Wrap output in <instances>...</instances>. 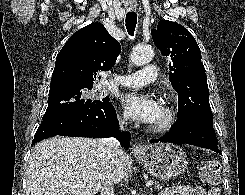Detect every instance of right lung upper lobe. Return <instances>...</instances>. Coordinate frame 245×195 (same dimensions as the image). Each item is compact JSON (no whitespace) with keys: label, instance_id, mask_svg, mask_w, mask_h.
<instances>
[{"label":"right lung upper lobe","instance_id":"obj_1","mask_svg":"<svg viewBox=\"0 0 245 195\" xmlns=\"http://www.w3.org/2000/svg\"><path fill=\"white\" fill-rule=\"evenodd\" d=\"M121 46L101 23L74 33L57 55L50 93L71 87L93 86L98 71L111 69Z\"/></svg>","mask_w":245,"mask_h":195}]
</instances>
